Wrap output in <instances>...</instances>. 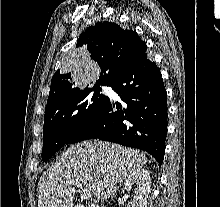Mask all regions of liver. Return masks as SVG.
Listing matches in <instances>:
<instances>
[{
    "instance_id": "6515ba94",
    "label": "liver",
    "mask_w": 220,
    "mask_h": 207,
    "mask_svg": "<svg viewBox=\"0 0 220 207\" xmlns=\"http://www.w3.org/2000/svg\"><path fill=\"white\" fill-rule=\"evenodd\" d=\"M147 162L138 150L98 140L78 143L65 151L38 182V207H73L78 180L96 199L108 200L135 169Z\"/></svg>"
}]
</instances>
